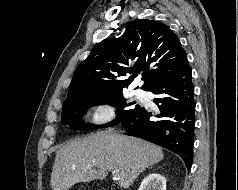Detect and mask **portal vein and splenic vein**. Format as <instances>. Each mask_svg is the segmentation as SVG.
<instances>
[{
  "mask_svg": "<svg viewBox=\"0 0 238 190\" xmlns=\"http://www.w3.org/2000/svg\"><path fill=\"white\" fill-rule=\"evenodd\" d=\"M112 175L114 176V179L119 180V178L115 175V172H112Z\"/></svg>",
  "mask_w": 238,
  "mask_h": 190,
  "instance_id": "obj_1",
  "label": "portal vein and splenic vein"
}]
</instances>
